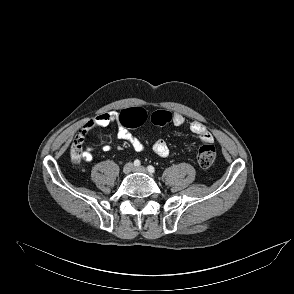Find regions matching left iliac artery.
<instances>
[{
	"mask_svg": "<svg viewBox=\"0 0 294 294\" xmlns=\"http://www.w3.org/2000/svg\"><path fill=\"white\" fill-rule=\"evenodd\" d=\"M147 168H148L149 172H151V173L155 172V168L152 165H149Z\"/></svg>",
	"mask_w": 294,
	"mask_h": 294,
	"instance_id": "44dca946",
	"label": "left iliac artery"
}]
</instances>
